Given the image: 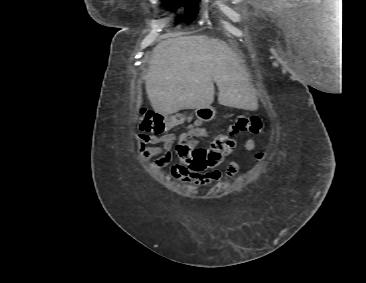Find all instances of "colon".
<instances>
[{
    "instance_id": "5ec220e1",
    "label": "colon",
    "mask_w": 366,
    "mask_h": 283,
    "mask_svg": "<svg viewBox=\"0 0 366 283\" xmlns=\"http://www.w3.org/2000/svg\"><path fill=\"white\" fill-rule=\"evenodd\" d=\"M189 119L190 117L182 114L163 116L142 108L137 122L141 131L161 135ZM245 132L250 134L263 133V120L256 115L237 116L228 125L226 133L216 136L207 149L195 147V138L205 135V131L202 128L194 127L189 133L181 136L175 146V153L181 165L192 171H205L220 161V153L228 154L233 151L235 148L233 137ZM216 149L220 152H216ZM258 157H261V154H258Z\"/></svg>"
}]
</instances>
